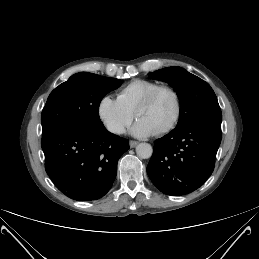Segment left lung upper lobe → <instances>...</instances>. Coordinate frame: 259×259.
<instances>
[{
	"mask_svg": "<svg viewBox=\"0 0 259 259\" xmlns=\"http://www.w3.org/2000/svg\"><path fill=\"white\" fill-rule=\"evenodd\" d=\"M150 78L167 82L180 101L179 121L175 129L196 122L221 124L222 114L217 97L208 83L181 67H169L151 72Z\"/></svg>",
	"mask_w": 259,
	"mask_h": 259,
	"instance_id": "obj_1",
	"label": "left lung upper lobe"
}]
</instances>
